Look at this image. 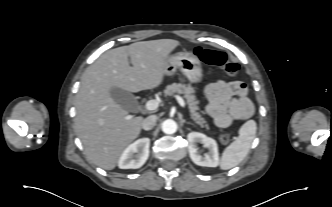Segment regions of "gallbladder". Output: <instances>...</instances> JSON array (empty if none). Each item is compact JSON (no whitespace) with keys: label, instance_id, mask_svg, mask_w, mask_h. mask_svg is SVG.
Here are the masks:
<instances>
[{"label":"gallbladder","instance_id":"bac80fb5","mask_svg":"<svg viewBox=\"0 0 332 207\" xmlns=\"http://www.w3.org/2000/svg\"><path fill=\"white\" fill-rule=\"evenodd\" d=\"M112 98L126 110L133 111L137 106V99L130 92H127L120 88H112L111 91Z\"/></svg>","mask_w":332,"mask_h":207}]
</instances>
